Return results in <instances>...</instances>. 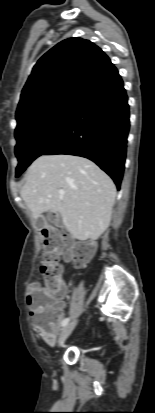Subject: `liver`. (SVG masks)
Segmentation results:
<instances>
[{"mask_svg": "<svg viewBox=\"0 0 155 413\" xmlns=\"http://www.w3.org/2000/svg\"><path fill=\"white\" fill-rule=\"evenodd\" d=\"M20 194L34 219L48 211L59 213L68 232L84 241L97 240L108 228L116 187L92 161L56 154L31 164Z\"/></svg>", "mask_w": 155, "mask_h": 413, "instance_id": "liver-1", "label": "liver"}]
</instances>
